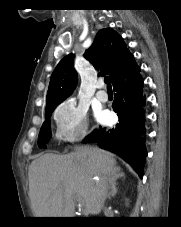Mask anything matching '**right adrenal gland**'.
<instances>
[{"instance_id": "2a0ac1e0", "label": "right adrenal gland", "mask_w": 181, "mask_h": 227, "mask_svg": "<svg viewBox=\"0 0 181 227\" xmlns=\"http://www.w3.org/2000/svg\"><path fill=\"white\" fill-rule=\"evenodd\" d=\"M119 178H125V174L123 172H121L120 168H118L116 170V173L111 177V179L109 181L111 191L108 195V199L115 197V195L117 193L116 181Z\"/></svg>"}]
</instances>
